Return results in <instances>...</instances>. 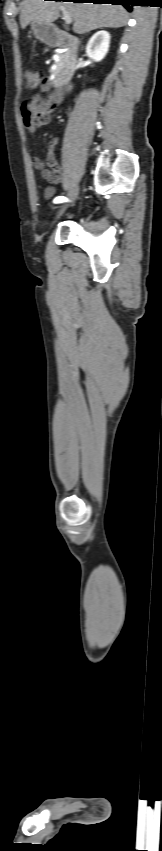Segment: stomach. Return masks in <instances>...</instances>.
Returning a JSON list of instances; mask_svg holds the SVG:
<instances>
[{
    "label": "stomach",
    "instance_id": "obj_1",
    "mask_svg": "<svg viewBox=\"0 0 162 851\" xmlns=\"http://www.w3.org/2000/svg\"><path fill=\"white\" fill-rule=\"evenodd\" d=\"M31 29L35 37L46 44L55 43L59 38L56 28L53 25L32 22Z\"/></svg>",
    "mask_w": 162,
    "mask_h": 851
}]
</instances>
